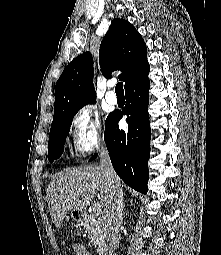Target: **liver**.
Here are the masks:
<instances>
[{
    "mask_svg": "<svg viewBox=\"0 0 221 255\" xmlns=\"http://www.w3.org/2000/svg\"><path fill=\"white\" fill-rule=\"evenodd\" d=\"M115 182L121 186L118 176ZM111 192L112 184L105 179L100 166H81L55 174L46 191L55 227H61L67 212L85 210L96 194L101 208L105 210Z\"/></svg>",
    "mask_w": 221,
    "mask_h": 255,
    "instance_id": "1",
    "label": "liver"
}]
</instances>
